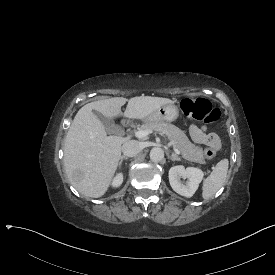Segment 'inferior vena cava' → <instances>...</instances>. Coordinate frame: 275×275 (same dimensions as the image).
<instances>
[{
  "instance_id": "obj_1",
  "label": "inferior vena cava",
  "mask_w": 275,
  "mask_h": 275,
  "mask_svg": "<svg viewBox=\"0 0 275 275\" xmlns=\"http://www.w3.org/2000/svg\"><path fill=\"white\" fill-rule=\"evenodd\" d=\"M141 145L136 140L126 141L122 146V152L127 157H133L141 151Z\"/></svg>"
}]
</instances>
